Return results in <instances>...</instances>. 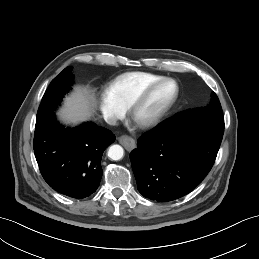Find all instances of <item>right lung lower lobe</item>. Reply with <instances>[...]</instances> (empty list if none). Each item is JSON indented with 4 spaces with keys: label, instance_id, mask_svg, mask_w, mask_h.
Segmentation results:
<instances>
[{
    "label": "right lung lower lobe",
    "instance_id": "right-lung-lower-lobe-1",
    "mask_svg": "<svg viewBox=\"0 0 259 259\" xmlns=\"http://www.w3.org/2000/svg\"><path fill=\"white\" fill-rule=\"evenodd\" d=\"M115 139L110 130L92 123L65 129L52 114L35 128L33 147L47 184L58 193L82 199L98 188L103 151Z\"/></svg>",
    "mask_w": 259,
    "mask_h": 259
}]
</instances>
